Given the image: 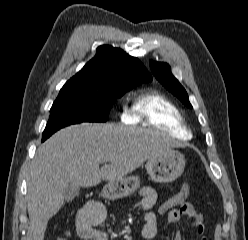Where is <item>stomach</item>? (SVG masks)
<instances>
[{
    "instance_id": "obj_1",
    "label": "stomach",
    "mask_w": 248,
    "mask_h": 240,
    "mask_svg": "<svg viewBox=\"0 0 248 240\" xmlns=\"http://www.w3.org/2000/svg\"><path fill=\"white\" fill-rule=\"evenodd\" d=\"M184 155L175 150H167L148 159L146 170L150 178L158 183H168L176 180L185 168ZM140 187L138 176H129L117 181L108 182L102 196L109 200H116L131 195Z\"/></svg>"
}]
</instances>
